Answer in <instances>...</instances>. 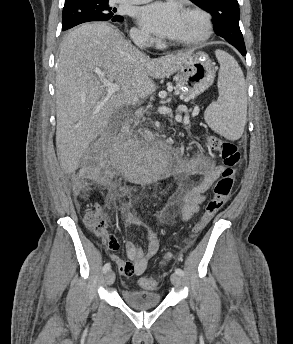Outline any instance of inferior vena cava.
I'll use <instances>...</instances> for the list:
<instances>
[{
  "label": "inferior vena cava",
  "mask_w": 293,
  "mask_h": 344,
  "mask_svg": "<svg viewBox=\"0 0 293 344\" xmlns=\"http://www.w3.org/2000/svg\"><path fill=\"white\" fill-rule=\"evenodd\" d=\"M131 38L133 42L141 49H143L146 46L147 35L145 33H142V32L131 33ZM127 104H130V102L127 101Z\"/></svg>",
  "instance_id": "inferior-vena-cava-1"
}]
</instances>
